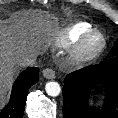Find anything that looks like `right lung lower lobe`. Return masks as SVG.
I'll use <instances>...</instances> for the list:
<instances>
[{
    "mask_svg": "<svg viewBox=\"0 0 118 118\" xmlns=\"http://www.w3.org/2000/svg\"><path fill=\"white\" fill-rule=\"evenodd\" d=\"M39 79V69L29 68L15 81L9 103L0 112V118H22L29 88Z\"/></svg>",
    "mask_w": 118,
    "mask_h": 118,
    "instance_id": "98d812e1",
    "label": "right lung lower lobe"
}]
</instances>
